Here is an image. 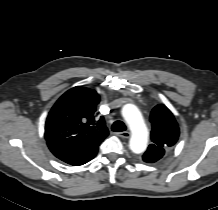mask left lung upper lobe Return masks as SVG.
Wrapping results in <instances>:
<instances>
[{"label":"left lung upper lobe","mask_w":218,"mask_h":210,"mask_svg":"<svg viewBox=\"0 0 218 210\" xmlns=\"http://www.w3.org/2000/svg\"><path fill=\"white\" fill-rule=\"evenodd\" d=\"M150 121L152 123L151 140L143 160L153 163L161 159L170 147L178 140L179 127L171 111L163 104L153 108Z\"/></svg>","instance_id":"5c2ea615"}]
</instances>
